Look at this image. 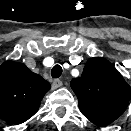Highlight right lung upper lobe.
<instances>
[{
	"instance_id": "cb5924a9",
	"label": "right lung upper lobe",
	"mask_w": 131,
	"mask_h": 131,
	"mask_svg": "<svg viewBox=\"0 0 131 131\" xmlns=\"http://www.w3.org/2000/svg\"><path fill=\"white\" fill-rule=\"evenodd\" d=\"M50 89L48 81L25 64L6 61L0 66V118L21 124L34 115Z\"/></svg>"
}]
</instances>
